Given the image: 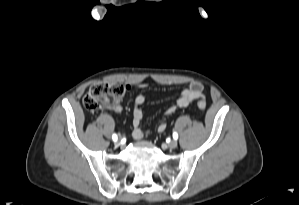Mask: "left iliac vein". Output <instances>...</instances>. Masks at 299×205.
Masks as SVG:
<instances>
[{
  "mask_svg": "<svg viewBox=\"0 0 299 205\" xmlns=\"http://www.w3.org/2000/svg\"><path fill=\"white\" fill-rule=\"evenodd\" d=\"M177 145H178V142H177L176 139L171 140V141L167 144L168 148H170V149H174V148H176Z\"/></svg>",
  "mask_w": 299,
  "mask_h": 205,
  "instance_id": "left-iliac-vein-1",
  "label": "left iliac vein"
}]
</instances>
